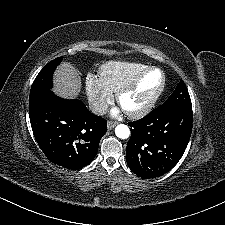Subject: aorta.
I'll list each match as a JSON object with an SVG mask.
<instances>
[{
	"label": "aorta",
	"mask_w": 225,
	"mask_h": 225,
	"mask_svg": "<svg viewBox=\"0 0 225 225\" xmlns=\"http://www.w3.org/2000/svg\"><path fill=\"white\" fill-rule=\"evenodd\" d=\"M115 134L120 139H127L130 136V129L125 124H118L115 128Z\"/></svg>",
	"instance_id": "aorta-1"
}]
</instances>
